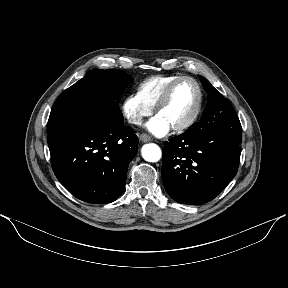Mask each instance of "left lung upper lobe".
I'll list each match as a JSON object with an SVG mask.
<instances>
[{
	"label": "left lung upper lobe",
	"instance_id": "5c2ea615",
	"mask_svg": "<svg viewBox=\"0 0 288 288\" xmlns=\"http://www.w3.org/2000/svg\"><path fill=\"white\" fill-rule=\"evenodd\" d=\"M204 90L208 93L207 106L201 120L191 125L187 131L196 132L207 129L221 135L229 136L241 142L242 127L239 118L228 99L218 92L204 77L198 75Z\"/></svg>",
	"mask_w": 288,
	"mask_h": 288
}]
</instances>
